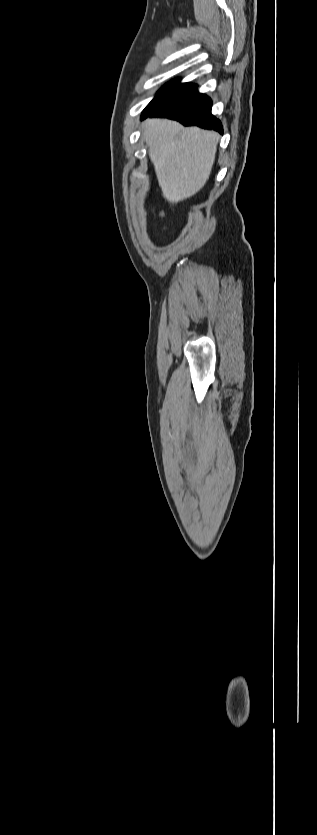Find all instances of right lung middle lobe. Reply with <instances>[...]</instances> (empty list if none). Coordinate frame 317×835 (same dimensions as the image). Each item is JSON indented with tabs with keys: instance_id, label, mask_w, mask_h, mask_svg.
<instances>
[{
	"instance_id": "obj_1",
	"label": "right lung middle lobe",
	"mask_w": 317,
	"mask_h": 835,
	"mask_svg": "<svg viewBox=\"0 0 317 835\" xmlns=\"http://www.w3.org/2000/svg\"><path fill=\"white\" fill-rule=\"evenodd\" d=\"M197 85L191 83L179 84L177 80L166 84L156 95V97L144 109L143 114L153 111L166 103L191 92Z\"/></svg>"
}]
</instances>
